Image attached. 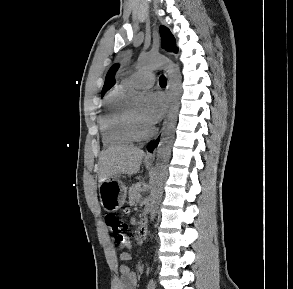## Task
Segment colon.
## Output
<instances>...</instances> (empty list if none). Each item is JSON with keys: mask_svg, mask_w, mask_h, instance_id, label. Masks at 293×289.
<instances>
[{"mask_svg": "<svg viewBox=\"0 0 293 289\" xmlns=\"http://www.w3.org/2000/svg\"><path fill=\"white\" fill-rule=\"evenodd\" d=\"M105 222L114 239L118 243L125 245L128 240V228L125 221L114 214H107Z\"/></svg>", "mask_w": 293, "mask_h": 289, "instance_id": "1", "label": "colon"}]
</instances>
